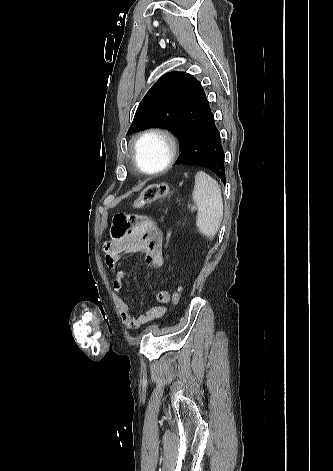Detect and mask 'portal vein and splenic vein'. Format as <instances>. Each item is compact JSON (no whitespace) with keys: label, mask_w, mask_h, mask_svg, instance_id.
I'll list each match as a JSON object with an SVG mask.
<instances>
[{"label":"portal vein and splenic vein","mask_w":333,"mask_h":471,"mask_svg":"<svg viewBox=\"0 0 333 471\" xmlns=\"http://www.w3.org/2000/svg\"><path fill=\"white\" fill-rule=\"evenodd\" d=\"M196 209V206H192V210H195Z\"/></svg>","instance_id":"18ae733b"}]
</instances>
